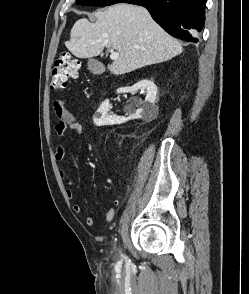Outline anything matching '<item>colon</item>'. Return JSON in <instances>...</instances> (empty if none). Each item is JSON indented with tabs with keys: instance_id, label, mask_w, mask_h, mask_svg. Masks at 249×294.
I'll return each mask as SVG.
<instances>
[{
	"instance_id": "1",
	"label": "colon",
	"mask_w": 249,
	"mask_h": 294,
	"mask_svg": "<svg viewBox=\"0 0 249 294\" xmlns=\"http://www.w3.org/2000/svg\"><path fill=\"white\" fill-rule=\"evenodd\" d=\"M79 61L74 59L69 53L60 54L52 68L51 87L54 90L63 89L69 79L78 76Z\"/></svg>"
}]
</instances>
